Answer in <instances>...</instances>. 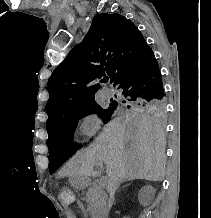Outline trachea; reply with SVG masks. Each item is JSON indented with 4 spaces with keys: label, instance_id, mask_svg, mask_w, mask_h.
<instances>
[{
    "label": "trachea",
    "instance_id": "1",
    "mask_svg": "<svg viewBox=\"0 0 211 218\" xmlns=\"http://www.w3.org/2000/svg\"><path fill=\"white\" fill-rule=\"evenodd\" d=\"M104 81H108V78H104Z\"/></svg>",
    "mask_w": 211,
    "mask_h": 218
}]
</instances>
